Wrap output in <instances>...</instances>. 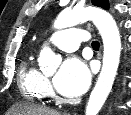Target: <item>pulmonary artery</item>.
<instances>
[{"instance_id":"1","label":"pulmonary artery","mask_w":131,"mask_h":115,"mask_svg":"<svg viewBox=\"0 0 131 115\" xmlns=\"http://www.w3.org/2000/svg\"><path fill=\"white\" fill-rule=\"evenodd\" d=\"M87 41L88 33L80 28L59 30L49 38L50 43L67 52L76 50L82 42Z\"/></svg>"}]
</instances>
